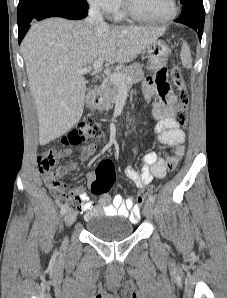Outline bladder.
<instances>
[{
	"mask_svg": "<svg viewBox=\"0 0 227 298\" xmlns=\"http://www.w3.org/2000/svg\"><path fill=\"white\" fill-rule=\"evenodd\" d=\"M86 229L99 240L115 242L131 236L134 226L132 222L126 219L107 220L103 216H98L87 220Z\"/></svg>",
	"mask_w": 227,
	"mask_h": 298,
	"instance_id": "obj_1",
	"label": "bladder"
}]
</instances>
